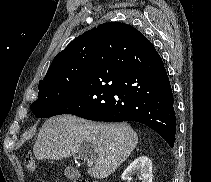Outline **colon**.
<instances>
[{"instance_id":"obj_1","label":"colon","mask_w":211,"mask_h":182,"mask_svg":"<svg viewBox=\"0 0 211 182\" xmlns=\"http://www.w3.org/2000/svg\"><path fill=\"white\" fill-rule=\"evenodd\" d=\"M26 168L29 171H34L36 169V160L32 154H29L25 159ZM74 182H88L87 180H77Z\"/></svg>"}]
</instances>
